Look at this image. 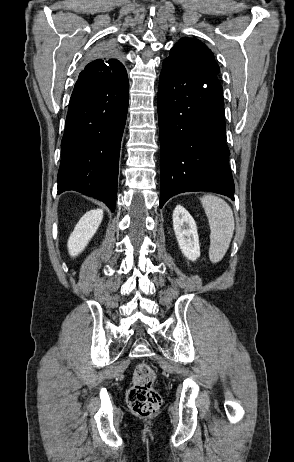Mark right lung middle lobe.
<instances>
[{"label": "right lung middle lobe", "mask_w": 294, "mask_h": 462, "mask_svg": "<svg viewBox=\"0 0 294 462\" xmlns=\"http://www.w3.org/2000/svg\"><path fill=\"white\" fill-rule=\"evenodd\" d=\"M108 50H114V43L110 40L102 41L93 49V51L91 52V55L95 56L98 53L108 51Z\"/></svg>", "instance_id": "1"}]
</instances>
